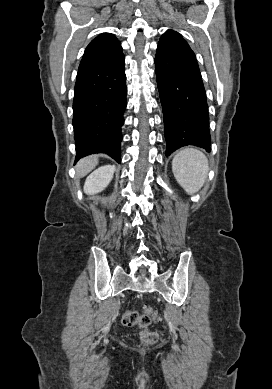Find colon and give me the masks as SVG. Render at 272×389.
<instances>
[{
    "label": "colon",
    "mask_w": 272,
    "mask_h": 389,
    "mask_svg": "<svg viewBox=\"0 0 272 389\" xmlns=\"http://www.w3.org/2000/svg\"><path fill=\"white\" fill-rule=\"evenodd\" d=\"M121 322L126 327L139 326L141 328L140 338L145 346L153 345L158 341L157 332L149 328L152 322L150 310H146L144 313L125 311L122 314Z\"/></svg>",
    "instance_id": "5ec220e1"
}]
</instances>
